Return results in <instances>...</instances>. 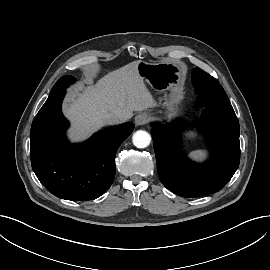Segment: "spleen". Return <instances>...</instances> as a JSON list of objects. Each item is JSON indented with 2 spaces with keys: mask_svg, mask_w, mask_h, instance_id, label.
<instances>
[{
  "mask_svg": "<svg viewBox=\"0 0 270 270\" xmlns=\"http://www.w3.org/2000/svg\"><path fill=\"white\" fill-rule=\"evenodd\" d=\"M205 151L204 150H196L190 153V156L194 157V158H204L205 157Z\"/></svg>",
  "mask_w": 270,
  "mask_h": 270,
  "instance_id": "3e777b00",
  "label": "spleen"
}]
</instances>
